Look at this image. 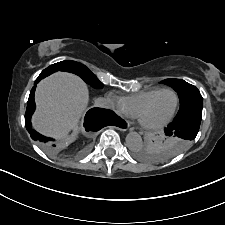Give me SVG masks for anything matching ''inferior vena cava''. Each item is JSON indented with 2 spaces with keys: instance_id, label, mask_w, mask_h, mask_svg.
<instances>
[{
  "instance_id": "1",
  "label": "inferior vena cava",
  "mask_w": 225,
  "mask_h": 225,
  "mask_svg": "<svg viewBox=\"0 0 225 225\" xmlns=\"http://www.w3.org/2000/svg\"><path fill=\"white\" fill-rule=\"evenodd\" d=\"M95 106L100 108L112 109L114 107V104L110 99L100 97L96 99Z\"/></svg>"
}]
</instances>
